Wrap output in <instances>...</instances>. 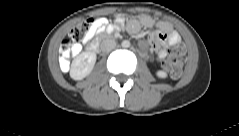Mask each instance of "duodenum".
Wrapping results in <instances>:
<instances>
[{"label": "duodenum", "mask_w": 239, "mask_h": 136, "mask_svg": "<svg viewBox=\"0 0 239 136\" xmlns=\"http://www.w3.org/2000/svg\"><path fill=\"white\" fill-rule=\"evenodd\" d=\"M88 50L93 52V53H96L99 51V43L98 41H94L92 42L89 46H88Z\"/></svg>", "instance_id": "1"}]
</instances>
